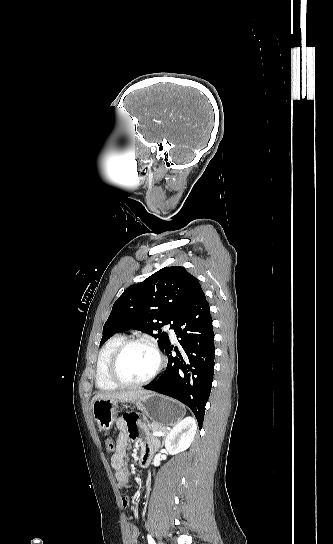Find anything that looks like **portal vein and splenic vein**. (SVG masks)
Returning a JSON list of instances; mask_svg holds the SVG:
<instances>
[{
	"label": "portal vein and splenic vein",
	"mask_w": 333,
	"mask_h": 544,
	"mask_svg": "<svg viewBox=\"0 0 333 544\" xmlns=\"http://www.w3.org/2000/svg\"><path fill=\"white\" fill-rule=\"evenodd\" d=\"M153 435H156V436H163L164 435V432H153Z\"/></svg>",
	"instance_id": "portal-vein-and-splenic-vein-1"
}]
</instances>
